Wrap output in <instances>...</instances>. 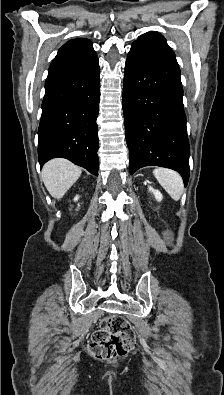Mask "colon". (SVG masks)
I'll list each match as a JSON object with an SVG mask.
<instances>
[{
  "label": "colon",
  "instance_id": "1",
  "mask_svg": "<svg viewBox=\"0 0 224 395\" xmlns=\"http://www.w3.org/2000/svg\"><path fill=\"white\" fill-rule=\"evenodd\" d=\"M135 347L136 337L129 322L121 316H111L94 331L88 350L97 360H109L123 356Z\"/></svg>",
  "mask_w": 224,
  "mask_h": 395
}]
</instances>
